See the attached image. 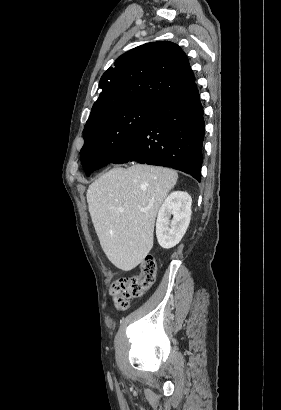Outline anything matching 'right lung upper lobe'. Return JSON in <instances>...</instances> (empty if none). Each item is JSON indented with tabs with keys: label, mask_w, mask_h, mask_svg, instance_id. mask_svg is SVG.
Wrapping results in <instances>:
<instances>
[{
	"label": "right lung upper lobe",
	"mask_w": 281,
	"mask_h": 410,
	"mask_svg": "<svg viewBox=\"0 0 281 410\" xmlns=\"http://www.w3.org/2000/svg\"><path fill=\"white\" fill-rule=\"evenodd\" d=\"M101 93L90 117L100 110L132 104L160 107L197 88L183 50L172 42L138 46L122 56L101 77Z\"/></svg>",
	"instance_id": "obj_1"
}]
</instances>
